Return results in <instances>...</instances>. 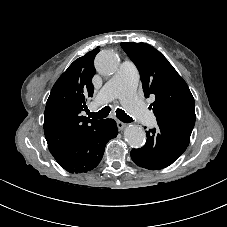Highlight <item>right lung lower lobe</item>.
Here are the masks:
<instances>
[{
  "label": "right lung lower lobe",
  "mask_w": 227,
  "mask_h": 227,
  "mask_svg": "<svg viewBox=\"0 0 227 227\" xmlns=\"http://www.w3.org/2000/svg\"><path fill=\"white\" fill-rule=\"evenodd\" d=\"M117 134L115 120H102L79 141L60 150L54 158L70 173L90 171L100 163L107 141L115 138Z\"/></svg>",
  "instance_id": "right-lung-lower-lobe-1"
}]
</instances>
